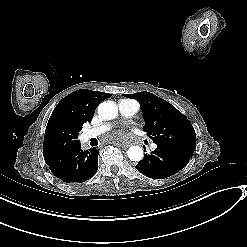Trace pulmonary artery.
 Here are the masks:
<instances>
[{
	"mask_svg": "<svg viewBox=\"0 0 247 247\" xmlns=\"http://www.w3.org/2000/svg\"><path fill=\"white\" fill-rule=\"evenodd\" d=\"M120 111L124 115H132L137 111V108L133 105H123L120 107ZM104 128L106 130H111L113 128V123L111 121H106L104 123V127L102 125H96L94 128L83 130L80 133V141L82 144L89 141L96 134H102L104 132ZM149 149L151 152L156 153L159 151L160 146L158 143L153 142L150 144Z\"/></svg>",
	"mask_w": 247,
	"mask_h": 247,
	"instance_id": "1",
	"label": "pulmonary artery"
}]
</instances>
